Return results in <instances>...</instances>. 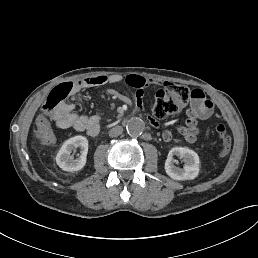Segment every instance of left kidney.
<instances>
[{"label":"left kidney","mask_w":258,"mask_h":258,"mask_svg":"<svg viewBox=\"0 0 258 258\" xmlns=\"http://www.w3.org/2000/svg\"><path fill=\"white\" fill-rule=\"evenodd\" d=\"M174 155L183 159L185 163L183 168L174 166L172 163ZM199 164V156L193 150L187 147H173L165 161V171L174 180H192L198 176Z\"/></svg>","instance_id":"1"}]
</instances>
